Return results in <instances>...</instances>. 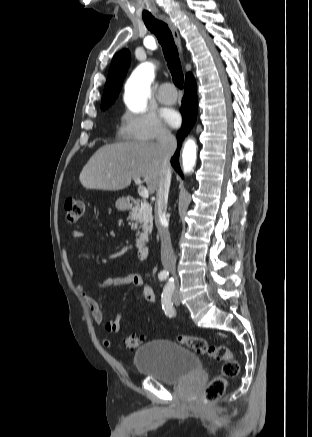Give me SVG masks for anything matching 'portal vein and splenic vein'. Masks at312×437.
Wrapping results in <instances>:
<instances>
[{"instance_id":"1","label":"portal vein and splenic vein","mask_w":312,"mask_h":437,"mask_svg":"<svg viewBox=\"0 0 312 437\" xmlns=\"http://www.w3.org/2000/svg\"><path fill=\"white\" fill-rule=\"evenodd\" d=\"M134 182L138 185V193L143 199H147L149 197V192L146 187L141 185V179L139 176L133 177Z\"/></svg>"}]
</instances>
